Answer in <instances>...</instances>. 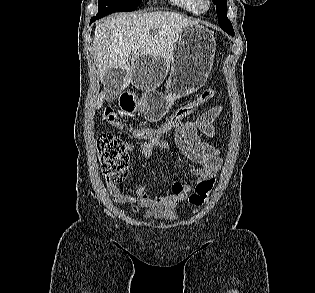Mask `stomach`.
Instances as JSON below:
<instances>
[{"mask_svg":"<svg viewBox=\"0 0 315 293\" xmlns=\"http://www.w3.org/2000/svg\"><path fill=\"white\" fill-rule=\"evenodd\" d=\"M216 50L212 31L202 25L187 26L180 33L171 59L172 70L166 81V92H121L119 106L127 113L141 110L149 121L160 120L174 101L202 87L211 71ZM137 61V60H136Z\"/></svg>","mask_w":315,"mask_h":293,"instance_id":"obj_1","label":"stomach"}]
</instances>
